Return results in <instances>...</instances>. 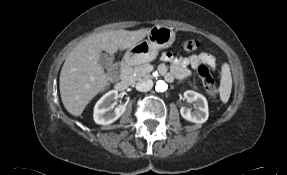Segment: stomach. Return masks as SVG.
I'll return each mask as SVG.
<instances>
[{"instance_id":"0dacf381","label":"stomach","mask_w":287,"mask_h":175,"mask_svg":"<svg viewBox=\"0 0 287 175\" xmlns=\"http://www.w3.org/2000/svg\"><path fill=\"white\" fill-rule=\"evenodd\" d=\"M174 40L175 32L172 28L155 25L149 30L146 40L138 42L126 51L124 60L130 65L150 62L157 57L159 50L170 47Z\"/></svg>"}]
</instances>
